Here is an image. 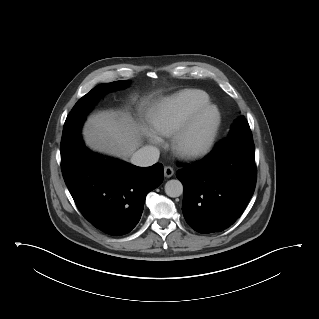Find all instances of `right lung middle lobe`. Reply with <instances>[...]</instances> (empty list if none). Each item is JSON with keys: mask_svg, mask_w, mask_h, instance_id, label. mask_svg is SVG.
<instances>
[{"mask_svg": "<svg viewBox=\"0 0 319 319\" xmlns=\"http://www.w3.org/2000/svg\"><path fill=\"white\" fill-rule=\"evenodd\" d=\"M129 84V81H116L112 83L100 84L94 87L89 93L84 95L73 107L66 118L62 141L61 152L65 151L75 139L80 136L81 126L88 112L97 101L106 93L122 89Z\"/></svg>", "mask_w": 319, "mask_h": 319, "instance_id": "dd1d6c3e", "label": "right lung middle lobe"}]
</instances>
